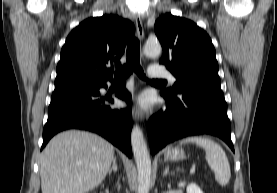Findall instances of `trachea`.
<instances>
[{
	"label": "trachea",
	"mask_w": 277,
	"mask_h": 193,
	"mask_svg": "<svg viewBox=\"0 0 277 193\" xmlns=\"http://www.w3.org/2000/svg\"><path fill=\"white\" fill-rule=\"evenodd\" d=\"M135 72L141 79L151 83H163L164 80H148L140 65V42L137 38L130 40L127 46V60L126 64L116 68L114 73L115 81H123L131 73Z\"/></svg>",
	"instance_id": "obj_1"
}]
</instances>
